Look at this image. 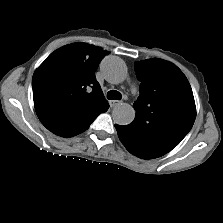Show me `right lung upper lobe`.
I'll use <instances>...</instances> for the list:
<instances>
[{
  "label": "right lung upper lobe",
  "instance_id": "cb5924a9",
  "mask_svg": "<svg viewBox=\"0 0 223 223\" xmlns=\"http://www.w3.org/2000/svg\"><path fill=\"white\" fill-rule=\"evenodd\" d=\"M109 54L86 43L63 46L38 67L32 79L36 113L52 133L72 137L87 130L109 108L95 71Z\"/></svg>",
  "mask_w": 223,
  "mask_h": 223
}]
</instances>
